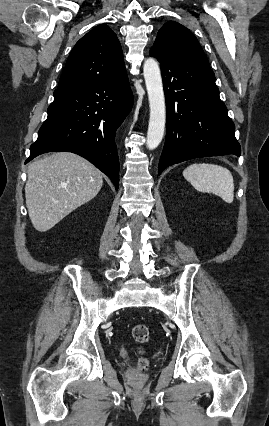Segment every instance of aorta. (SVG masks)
Segmentation results:
<instances>
[{
	"instance_id": "obj_1",
	"label": "aorta",
	"mask_w": 269,
	"mask_h": 426,
	"mask_svg": "<svg viewBox=\"0 0 269 426\" xmlns=\"http://www.w3.org/2000/svg\"><path fill=\"white\" fill-rule=\"evenodd\" d=\"M143 74L149 99L150 118L147 132V148L153 150L161 143L165 130L166 106L161 72L158 62L148 58Z\"/></svg>"
}]
</instances>
